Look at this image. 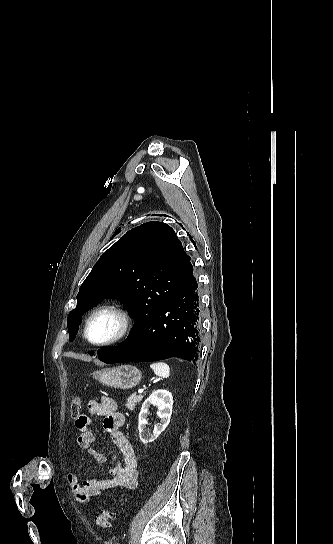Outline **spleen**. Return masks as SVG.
<instances>
[{"mask_svg":"<svg viewBox=\"0 0 333 544\" xmlns=\"http://www.w3.org/2000/svg\"><path fill=\"white\" fill-rule=\"evenodd\" d=\"M150 368L159 377L168 378L170 375V368L164 362L153 363L150 365Z\"/></svg>","mask_w":333,"mask_h":544,"instance_id":"obj_1","label":"spleen"}]
</instances>
